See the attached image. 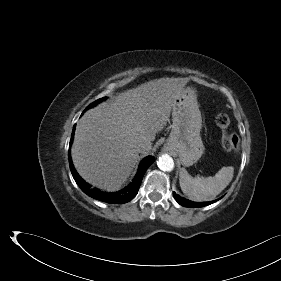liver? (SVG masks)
<instances>
[{"mask_svg": "<svg viewBox=\"0 0 281 281\" xmlns=\"http://www.w3.org/2000/svg\"><path fill=\"white\" fill-rule=\"evenodd\" d=\"M188 81L151 80L88 110L77 124L71 149L79 175L99 189L118 190L139 158L137 146H151Z\"/></svg>", "mask_w": 281, "mask_h": 281, "instance_id": "6515ba94", "label": "liver"}]
</instances>
